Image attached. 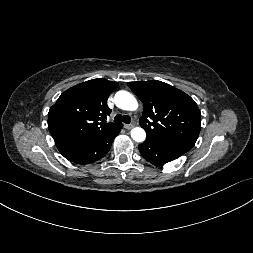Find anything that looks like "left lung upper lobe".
I'll list each match as a JSON object with an SVG mask.
<instances>
[{
	"instance_id": "left-lung-upper-lobe-1",
	"label": "left lung upper lobe",
	"mask_w": 253,
	"mask_h": 253,
	"mask_svg": "<svg viewBox=\"0 0 253 253\" xmlns=\"http://www.w3.org/2000/svg\"><path fill=\"white\" fill-rule=\"evenodd\" d=\"M128 86L144 104L139 123L147 139L188 151L195 145L201 128V113L190 96L157 80L129 82Z\"/></svg>"
}]
</instances>
